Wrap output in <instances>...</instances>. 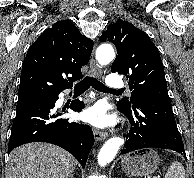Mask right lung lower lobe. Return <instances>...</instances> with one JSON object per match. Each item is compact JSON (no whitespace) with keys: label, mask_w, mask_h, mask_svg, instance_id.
I'll use <instances>...</instances> for the list:
<instances>
[{"label":"right lung lower lobe","mask_w":194,"mask_h":178,"mask_svg":"<svg viewBox=\"0 0 194 178\" xmlns=\"http://www.w3.org/2000/svg\"><path fill=\"white\" fill-rule=\"evenodd\" d=\"M58 95L17 103L8 145V153L29 142H48L70 152L84 168L94 144V135L88 125L70 123L58 118L61 112L54 110ZM85 107L82 101H74L70 109L80 112Z\"/></svg>","instance_id":"right-lung-lower-lobe-1"}]
</instances>
